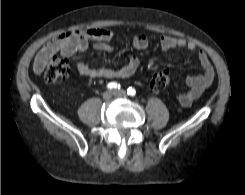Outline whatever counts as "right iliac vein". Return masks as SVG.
<instances>
[{
  "label": "right iliac vein",
  "instance_id": "right-iliac-vein-1",
  "mask_svg": "<svg viewBox=\"0 0 245 195\" xmlns=\"http://www.w3.org/2000/svg\"><path fill=\"white\" fill-rule=\"evenodd\" d=\"M114 95V92L109 90V91H106L104 94H103V99L104 100H109L111 99V97Z\"/></svg>",
  "mask_w": 245,
  "mask_h": 195
}]
</instances>
